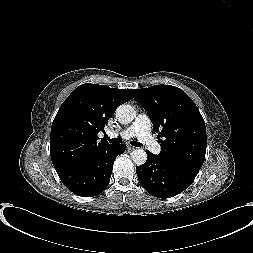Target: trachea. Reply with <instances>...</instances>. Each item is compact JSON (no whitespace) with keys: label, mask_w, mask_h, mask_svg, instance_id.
<instances>
[{"label":"trachea","mask_w":253,"mask_h":253,"mask_svg":"<svg viewBox=\"0 0 253 253\" xmlns=\"http://www.w3.org/2000/svg\"><path fill=\"white\" fill-rule=\"evenodd\" d=\"M109 141H110V143H112V144H120V143H121V139H120V138H112V139H110ZM131 144H132L133 146H135V147H141V146H142V144L139 143V142H137V141H132Z\"/></svg>","instance_id":"obj_1"}]
</instances>
